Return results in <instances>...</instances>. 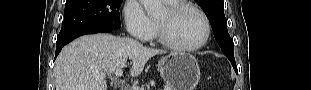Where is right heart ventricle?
Instances as JSON below:
<instances>
[{"instance_id": "e07e8e85", "label": "right heart ventricle", "mask_w": 311, "mask_h": 90, "mask_svg": "<svg viewBox=\"0 0 311 90\" xmlns=\"http://www.w3.org/2000/svg\"><path fill=\"white\" fill-rule=\"evenodd\" d=\"M165 2L168 4V6H171V5H174V4H177V3H178V1H174V2L165 1ZM152 21H153V20H152ZM156 35H157L156 23H155V21H153V33H152V37H156Z\"/></svg>"}]
</instances>
